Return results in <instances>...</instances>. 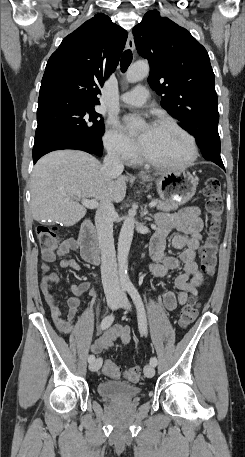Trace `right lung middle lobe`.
I'll use <instances>...</instances> for the list:
<instances>
[{
  "label": "right lung middle lobe",
  "instance_id": "dd1d6c3e",
  "mask_svg": "<svg viewBox=\"0 0 245 457\" xmlns=\"http://www.w3.org/2000/svg\"><path fill=\"white\" fill-rule=\"evenodd\" d=\"M94 106L92 103L70 102L37 112L35 142L51 136H68L81 140L93 154L101 156L104 125Z\"/></svg>",
  "mask_w": 245,
  "mask_h": 457
}]
</instances>
